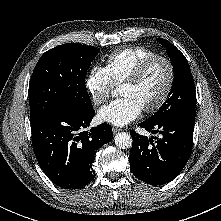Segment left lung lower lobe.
Segmentation results:
<instances>
[{
	"instance_id": "obj_1",
	"label": "left lung lower lobe",
	"mask_w": 221,
	"mask_h": 221,
	"mask_svg": "<svg viewBox=\"0 0 221 221\" xmlns=\"http://www.w3.org/2000/svg\"><path fill=\"white\" fill-rule=\"evenodd\" d=\"M195 118L175 116L161 122L143 121L139 124L160 138L139 135L131 131L133 140L130 166L133 174L150 185H162L173 180L186 165L193 144ZM153 139L156 142L153 143Z\"/></svg>"
}]
</instances>
